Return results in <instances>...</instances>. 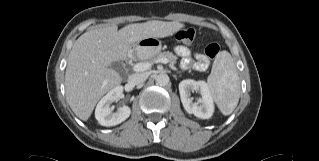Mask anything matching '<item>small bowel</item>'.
<instances>
[{
	"instance_id": "1",
	"label": "small bowel",
	"mask_w": 319,
	"mask_h": 161,
	"mask_svg": "<svg viewBox=\"0 0 319 161\" xmlns=\"http://www.w3.org/2000/svg\"><path fill=\"white\" fill-rule=\"evenodd\" d=\"M176 54L181 58L180 67L182 69H198L205 70L208 66V61L201 54H195L194 59L192 57L191 51L188 47L177 46L175 48Z\"/></svg>"
}]
</instances>
